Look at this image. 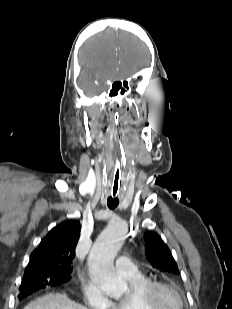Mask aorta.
Instances as JSON below:
<instances>
[{"label":"aorta","instance_id":"obj_1","mask_svg":"<svg viewBox=\"0 0 232 309\" xmlns=\"http://www.w3.org/2000/svg\"><path fill=\"white\" fill-rule=\"evenodd\" d=\"M126 224L111 222L98 236L88 256L89 272L93 280L110 297L119 299L127 290V282L114 271L113 261L123 245Z\"/></svg>","mask_w":232,"mask_h":309}]
</instances>
